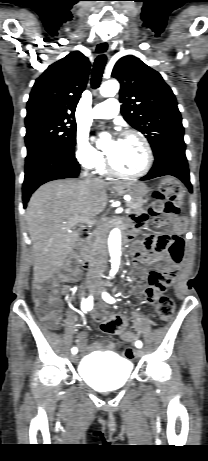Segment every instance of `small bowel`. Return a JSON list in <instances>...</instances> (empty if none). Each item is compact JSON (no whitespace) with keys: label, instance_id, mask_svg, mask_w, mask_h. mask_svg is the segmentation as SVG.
<instances>
[{"label":"small bowel","instance_id":"small-bowel-1","mask_svg":"<svg viewBox=\"0 0 208 461\" xmlns=\"http://www.w3.org/2000/svg\"><path fill=\"white\" fill-rule=\"evenodd\" d=\"M148 209H136L134 214H128V221L132 222L137 230H142L147 223ZM164 220H157V223H164ZM181 222H174V225H158L157 230L148 237H141L132 250L134 260L133 275L137 281L134 287L135 293L142 302L152 305L158 295L171 286L175 280L177 271L184 256H188L189 249L186 248V234H179L182 230ZM157 250V251H148ZM68 263H61V270L68 271L69 278H78L80 256H68ZM151 264L158 269L146 272L144 265ZM68 285L62 286V293L67 294ZM94 319L101 322L103 332L119 336L122 340L136 341V335L127 331V320L123 316L107 315L104 311L97 310L93 314ZM87 333L80 331L76 338V344L83 353H91L95 350H107L118 353L120 348L111 341H96L87 345Z\"/></svg>","mask_w":208,"mask_h":461}]
</instances>
